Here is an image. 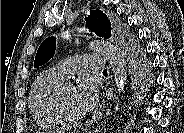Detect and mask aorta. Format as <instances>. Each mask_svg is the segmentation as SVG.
Returning <instances> with one entry per match:
<instances>
[{"label":"aorta","instance_id":"obj_1","mask_svg":"<svg viewBox=\"0 0 184 133\" xmlns=\"http://www.w3.org/2000/svg\"><path fill=\"white\" fill-rule=\"evenodd\" d=\"M90 48L100 52L109 62L113 74L118 94L124 92L127 80L126 61L121 51L109 42L95 40L90 42Z\"/></svg>","mask_w":184,"mask_h":133}]
</instances>
